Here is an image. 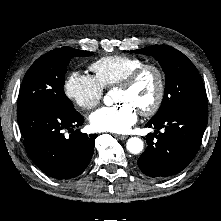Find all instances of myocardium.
I'll list each match as a JSON object with an SVG mask.
<instances>
[{"label":"myocardium","mask_w":221,"mask_h":221,"mask_svg":"<svg viewBox=\"0 0 221 221\" xmlns=\"http://www.w3.org/2000/svg\"><path fill=\"white\" fill-rule=\"evenodd\" d=\"M153 71L157 78V92L153 103L144 109L139 110L142 116H151L155 114L162 105L165 95V76L162 69L152 63H144L130 72L122 81L117 84L118 88H131L145 71Z\"/></svg>","instance_id":"obj_1"}]
</instances>
